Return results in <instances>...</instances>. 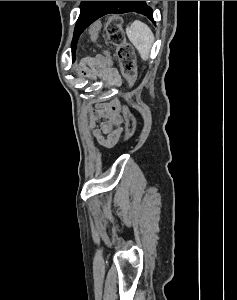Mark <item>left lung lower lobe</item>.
I'll return each instance as SVG.
<instances>
[{
  "instance_id": "left-lung-lower-lobe-1",
  "label": "left lung lower lobe",
  "mask_w": 237,
  "mask_h": 300,
  "mask_svg": "<svg viewBox=\"0 0 237 300\" xmlns=\"http://www.w3.org/2000/svg\"><path fill=\"white\" fill-rule=\"evenodd\" d=\"M126 12H128V11L124 7L123 1H109V3L101 11V13L99 14L97 19H99L100 17H102L106 14H110V13L120 14V13H126Z\"/></svg>"
}]
</instances>
